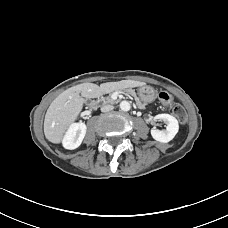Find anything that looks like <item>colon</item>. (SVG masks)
Wrapping results in <instances>:
<instances>
[{"label":"colon","mask_w":228,"mask_h":228,"mask_svg":"<svg viewBox=\"0 0 228 228\" xmlns=\"http://www.w3.org/2000/svg\"><path fill=\"white\" fill-rule=\"evenodd\" d=\"M159 99L162 104L173 113L179 122L184 123L186 121L187 115L184 108L175 103L174 98L170 94L161 92L159 94Z\"/></svg>","instance_id":"1"}]
</instances>
